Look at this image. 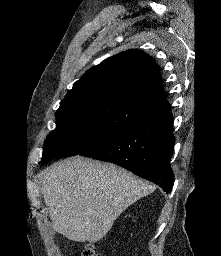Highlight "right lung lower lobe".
I'll use <instances>...</instances> for the list:
<instances>
[{
  "label": "right lung lower lobe",
  "instance_id": "right-lung-lower-lobe-1",
  "mask_svg": "<svg viewBox=\"0 0 221 256\" xmlns=\"http://www.w3.org/2000/svg\"><path fill=\"white\" fill-rule=\"evenodd\" d=\"M172 128V113L168 111L120 130L80 155L117 164L170 193L174 184Z\"/></svg>",
  "mask_w": 221,
  "mask_h": 256
}]
</instances>
